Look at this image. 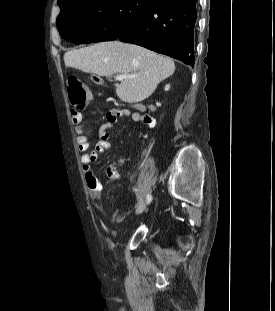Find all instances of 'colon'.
<instances>
[{
    "label": "colon",
    "instance_id": "obj_1",
    "mask_svg": "<svg viewBox=\"0 0 275 311\" xmlns=\"http://www.w3.org/2000/svg\"><path fill=\"white\" fill-rule=\"evenodd\" d=\"M70 102L74 109H82L90 98V91L87 86L79 82L76 78L68 81ZM108 116H113L112 112Z\"/></svg>",
    "mask_w": 275,
    "mask_h": 311
}]
</instances>
